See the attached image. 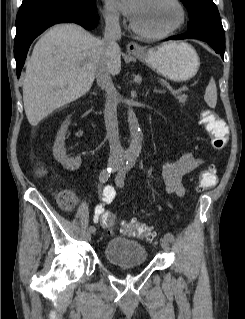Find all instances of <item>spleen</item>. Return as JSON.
Returning <instances> with one entry per match:
<instances>
[{"label": "spleen", "mask_w": 245, "mask_h": 319, "mask_svg": "<svg viewBox=\"0 0 245 319\" xmlns=\"http://www.w3.org/2000/svg\"><path fill=\"white\" fill-rule=\"evenodd\" d=\"M204 100L209 107H211V108L216 107L217 87H216L215 80L213 78L210 79L209 84L206 87Z\"/></svg>", "instance_id": "3e777b00"}]
</instances>
